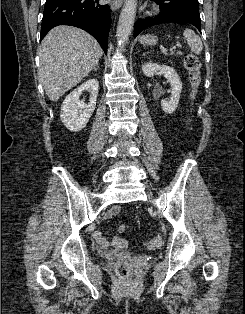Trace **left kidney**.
<instances>
[{
	"instance_id": "obj_1",
	"label": "left kidney",
	"mask_w": 245,
	"mask_h": 314,
	"mask_svg": "<svg viewBox=\"0 0 245 314\" xmlns=\"http://www.w3.org/2000/svg\"><path fill=\"white\" fill-rule=\"evenodd\" d=\"M142 71L144 75H146L147 77H152L157 73V71H160L167 79V81L170 83L171 97L168 101L167 100L161 101V107L165 113L168 114L173 113L178 107L180 94L182 91V83L176 71L169 66L159 65L157 63L152 62L144 63L142 65Z\"/></svg>"
}]
</instances>
